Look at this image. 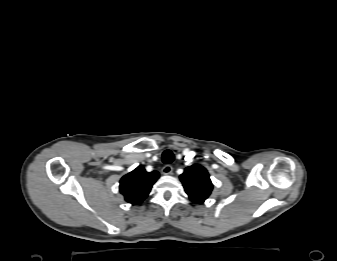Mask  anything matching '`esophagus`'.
<instances>
[{"mask_svg":"<svg viewBox=\"0 0 337 261\" xmlns=\"http://www.w3.org/2000/svg\"><path fill=\"white\" fill-rule=\"evenodd\" d=\"M161 171H162V174L169 175L173 172V167L171 165H165L163 166Z\"/></svg>","mask_w":337,"mask_h":261,"instance_id":"34e87169","label":"esophagus"}]
</instances>
